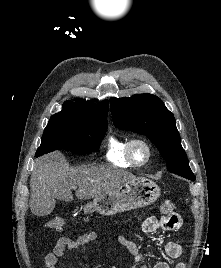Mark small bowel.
<instances>
[{"instance_id":"1","label":"small bowel","mask_w":221,"mask_h":268,"mask_svg":"<svg viewBox=\"0 0 221 268\" xmlns=\"http://www.w3.org/2000/svg\"><path fill=\"white\" fill-rule=\"evenodd\" d=\"M182 226V219L177 213H173L162 218L154 216L146 218L142 222V231L145 234H153L158 230L167 232L178 231ZM99 235L95 231H91L78 236L76 239L61 238L57 241L53 250L48 252L44 257V264L46 268H62L61 259L64 257L66 251L76 250L79 247L88 245L89 243L97 241ZM119 242L125 246L133 257V263L130 268H170L169 264L163 260L158 259L152 267H148L142 263L143 257L139 252V246L136 241L128 236H119ZM183 245L179 242L169 241L163 245V252L166 257L176 259L183 254ZM175 268H185L184 263H179Z\"/></svg>"}]
</instances>
